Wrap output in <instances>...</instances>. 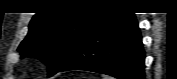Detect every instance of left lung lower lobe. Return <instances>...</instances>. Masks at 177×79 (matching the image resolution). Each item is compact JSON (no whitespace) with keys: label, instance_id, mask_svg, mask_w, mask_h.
Listing matches in <instances>:
<instances>
[{"label":"left lung lower lobe","instance_id":"obj_1","mask_svg":"<svg viewBox=\"0 0 177 79\" xmlns=\"http://www.w3.org/2000/svg\"><path fill=\"white\" fill-rule=\"evenodd\" d=\"M144 58L135 16L108 12L58 72L87 70L118 79H144Z\"/></svg>","mask_w":177,"mask_h":79}]
</instances>
